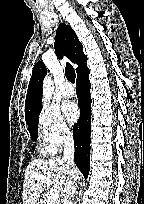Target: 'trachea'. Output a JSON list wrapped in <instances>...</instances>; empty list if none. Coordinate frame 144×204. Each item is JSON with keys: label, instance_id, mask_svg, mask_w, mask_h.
I'll return each mask as SVG.
<instances>
[{"label": "trachea", "instance_id": "1", "mask_svg": "<svg viewBox=\"0 0 144 204\" xmlns=\"http://www.w3.org/2000/svg\"><path fill=\"white\" fill-rule=\"evenodd\" d=\"M65 75L67 79L71 82H75L76 74L74 68L71 66V64L66 63V68H65Z\"/></svg>", "mask_w": 144, "mask_h": 204}]
</instances>
